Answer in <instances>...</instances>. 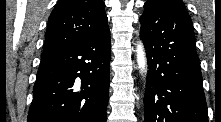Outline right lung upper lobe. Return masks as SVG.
Returning <instances> with one entry per match:
<instances>
[{"mask_svg":"<svg viewBox=\"0 0 221 122\" xmlns=\"http://www.w3.org/2000/svg\"><path fill=\"white\" fill-rule=\"evenodd\" d=\"M102 0H59L52 11L41 59L88 40L108 28Z\"/></svg>","mask_w":221,"mask_h":122,"instance_id":"1","label":"right lung upper lobe"}]
</instances>
